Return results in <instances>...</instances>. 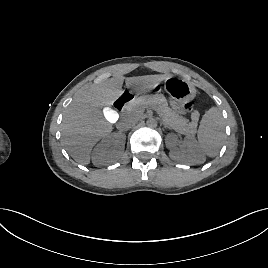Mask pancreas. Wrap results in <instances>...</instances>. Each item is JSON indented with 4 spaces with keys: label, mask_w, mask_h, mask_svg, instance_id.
Instances as JSON below:
<instances>
[{
    "label": "pancreas",
    "mask_w": 268,
    "mask_h": 268,
    "mask_svg": "<svg viewBox=\"0 0 268 268\" xmlns=\"http://www.w3.org/2000/svg\"><path fill=\"white\" fill-rule=\"evenodd\" d=\"M148 106L153 107L158 112L168 128L173 129L180 134L188 136L195 135L197 122H189L188 119L172 110L168 106V102L163 95L140 96L129 104L128 110L130 113L138 115L143 113Z\"/></svg>",
    "instance_id": "obj_1"
}]
</instances>
